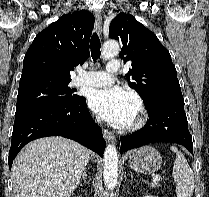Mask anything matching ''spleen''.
Masks as SVG:
<instances>
[{
  "label": "spleen",
  "mask_w": 209,
  "mask_h": 197,
  "mask_svg": "<svg viewBox=\"0 0 209 197\" xmlns=\"http://www.w3.org/2000/svg\"><path fill=\"white\" fill-rule=\"evenodd\" d=\"M176 154L172 176L176 183L177 197H191L194 192V174L185 156L175 146L170 148Z\"/></svg>",
  "instance_id": "spleen-1"
}]
</instances>
